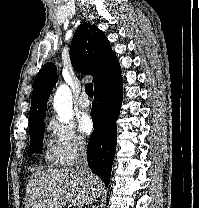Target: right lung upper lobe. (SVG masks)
<instances>
[{"instance_id": "right-lung-upper-lobe-1", "label": "right lung upper lobe", "mask_w": 199, "mask_h": 208, "mask_svg": "<svg viewBox=\"0 0 199 208\" xmlns=\"http://www.w3.org/2000/svg\"><path fill=\"white\" fill-rule=\"evenodd\" d=\"M74 69L93 76L94 90L121 77V68L105 34L95 25L82 24L74 34L70 47ZM58 80L53 63L45 64L36 75L29 113L30 130L44 124L48 97Z\"/></svg>"}]
</instances>
